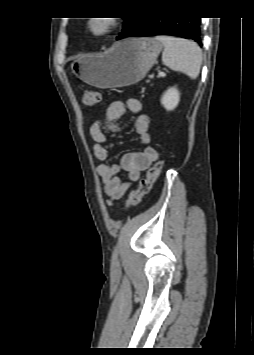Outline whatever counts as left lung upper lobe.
I'll return each instance as SVG.
<instances>
[{
  "instance_id": "1",
  "label": "left lung upper lobe",
  "mask_w": 254,
  "mask_h": 355,
  "mask_svg": "<svg viewBox=\"0 0 254 355\" xmlns=\"http://www.w3.org/2000/svg\"><path fill=\"white\" fill-rule=\"evenodd\" d=\"M136 20L137 18H124L125 25L123 27L122 33L117 38L127 33L134 26Z\"/></svg>"
}]
</instances>
